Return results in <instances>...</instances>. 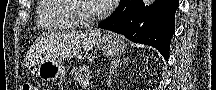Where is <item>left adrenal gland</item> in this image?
I'll use <instances>...</instances> for the list:
<instances>
[{
    "instance_id": "1",
    "label": "left adrenal gland",
    "mask_w": 216,
    "mask_h": 90,
    "mask_svg": "<svg viewBox=\"0 0 216 90\" xmlns=\"http://www.w3.org/2000/svg\"><path fill=\"white\" fill-rule=\"evenodd\" d=\"M129 58H116L114 62L111 64L109 76H108V84H111V78L115 72H117L118 68H121L122 64H126Z\"/></svg>"
}]
</instances>
